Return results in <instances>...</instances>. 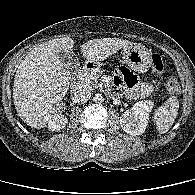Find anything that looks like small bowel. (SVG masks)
Segmentation results:
<instances>
[{"label":"small bowel","mask_w":195,"mask_h":195,"mask_svg":"<svg viewBox=\"0 0 195 195\" xmlns=\"http://www.w3.org/2000/svg\"><path fill=\"white\" fill-rule=\"evenodd\" d=\"M121 85H124L127 94L131 97H143L153 91L151 84L140 83L138 78L125 67L117 69L113 90L118 91Z\"/></svg>","instance_id":"1"}]
</instances>
